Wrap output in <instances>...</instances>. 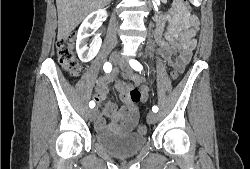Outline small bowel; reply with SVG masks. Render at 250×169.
I'll return each mask as SVG.
<instances>
[{
	"mask_svg": "<svg viewBox=\"0 0 250 169\" xmlns=\"http://www.w3.org/2000/svg\"><path fill=\"white\" fill-rule=\"evenodd\" d=\"M188 28L180 37L172 43L159 42L160 58L164 65L179 67L183 72L191 59L192 51L195 48L193 36L198 27V20L195 17L187 18ZM159 41H161L158 38ZM173 55H177L174 62L171 61ZM122 80L117 73H112L99 78L96 85L94 99L99 106L107 105L111 122L106 124L103 117H99L95 122V129L102 134L107 131L129 133L139 124L138 102H133L130 98V91L138 88L142 93L140 101H146L150 94V82L140 75L132 72L125 74ZM110 83H115L121 101V107L116 109L114 104L108 101ZM139 101V102H140Z\"/></svg>",
	"mask_w": 250,
	"mask_h": 169,
	"instance_id": "1",
	"label": "small bowel"
}]
</instances>
